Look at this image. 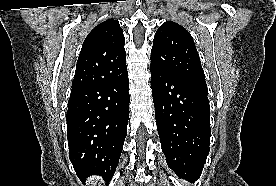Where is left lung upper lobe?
<instances>
[{
	"label": "left lung upper lobe",
	"mask_w": 276,
	"mask_h": 186,
	"mask_svg": "<svg viewBox=\"0 0 276 186\" xmlns=\"http://www.w3.org/2000/svg\"><path fill=\"white\" fill-rule=\"evenodd\" d=\"M151 65L206 84L193 38L175 22L166 21L157 30L151 50Z\"/></svg>",
	"instance_id": "left-lung-upper-lobe-1"
}]
</instances>
